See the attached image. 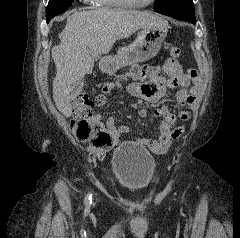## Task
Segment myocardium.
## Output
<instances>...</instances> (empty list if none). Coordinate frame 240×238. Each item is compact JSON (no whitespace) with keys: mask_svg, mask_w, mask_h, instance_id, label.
Instances as JSON below:
<instances>
[{"mask_svg":"<svg viewBox=\"0 0 240 238\" xmlns=\"http://www.w3.org/2000/svg\"><path fill=\"white\" fill-rule=\"evenodd\" d=\"M117 3L125 8H141V7H146L154 3L155 0H149L148 2L145 3H139V2H133V1H128V0H116Z\"/></svg>","mask_w":240,"mask_h":238,"instance_id":"1","label":"myocardium"}]
</instances>
